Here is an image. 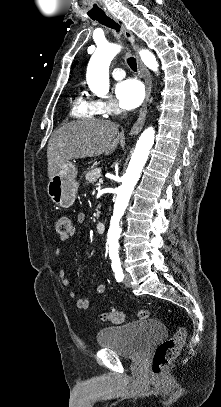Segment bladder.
Listing matches in <instances>:
<instances>
[{
    "mask_svg": "<svg viewBox=\"0 0 221 407\" xmlns=\"http://www.w3.org/2000/svg\"><path fill=\"white\" fill-rule=\"evenodd\" d=\"M165 335L164 323L149 319L102 328L97 332L96 341L100 347L112 348L118 355L136 358Z\"/></svg>",
    "mask_w": 221,
    "mask_h": 407,
    "instance_id": "obj_1",
    "label": "bladder"
}]
</instances>
